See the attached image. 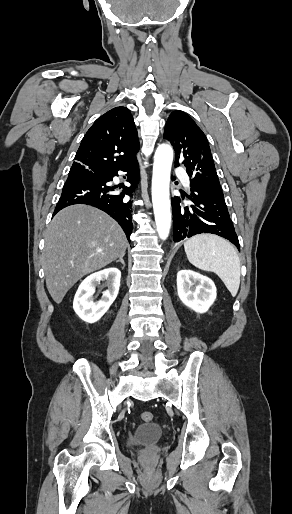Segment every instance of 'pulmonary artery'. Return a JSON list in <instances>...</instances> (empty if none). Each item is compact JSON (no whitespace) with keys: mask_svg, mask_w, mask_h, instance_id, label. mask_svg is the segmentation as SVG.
<instances>
[{"mask_svg":"<svg viewBox=\"0 0 292 514\" xmlns=\"http://www.w3.org/2000/svg\"><path fill=\"white\" fill-rule=\"evenodd\" d=\"M182 175H183V181H184L185 186H186V187H189V185H190V179H189V177L186 175V173H185V172H183V173H182Z\"/></svg>","mask_w":292,"mask_h":514,"instance_id":"e3ab8cb5","label":"pulmonary artery"}]
</instances>
